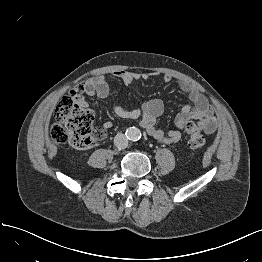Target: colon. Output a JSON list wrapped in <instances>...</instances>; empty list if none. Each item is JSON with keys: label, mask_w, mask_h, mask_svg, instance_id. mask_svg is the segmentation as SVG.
Returning <instances> with one entry per match:
<instances>
[{"label": "colon", "mask_w": 262, "mask_h": 262, "mask_svg": "<svg viewBox=\"0 0 262 262\" xmlns=\"http://www.w3.org/2000/svg\"><path fill=\"white\" fill-rule=\"evenodd\" d=\"M54 118L55 121L49 126V136L54 144L68 142L75 149L91 146L94 111L80 98L72 93L63 96ZM183 129L189 136L188 146L191 149L200 150L204 147L205 138L194 122H187Z\"/></svg>", "instance_id": "5ec220e1"}]
</instances>
